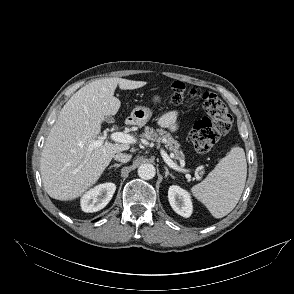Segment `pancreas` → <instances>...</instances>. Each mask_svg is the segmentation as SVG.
<instances>
[{"mask_svg": "<svg viewBox=\"0 0 294 294\" xmlns=\"http://www.w3.org/2000/svg\"><path fill=\"white\" fill-rule=\"evenodd\" d=\"M142 136L147 140L157 142V144L164 143L165 146L174 154L175 159L180 160L184 157L183 152L180 150V144L165 130H154L152 127L146 126Z\"/></svg>", "mask_w": 294, "mask_h": 294, "instance_id": "pancreas-1", "label": "pancreas"}]
</instances>
